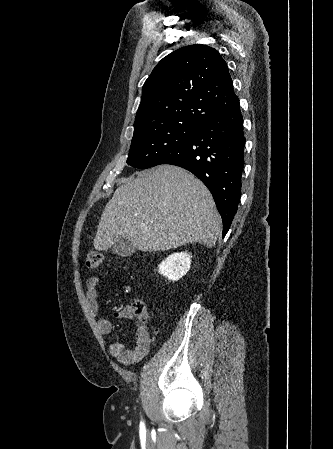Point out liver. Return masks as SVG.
Masks as SVG:
<instances>
[{"label": "liver", "mask_w": 333, "mask_h": 449, "mask_svg": "<svg viewBox=\"0 0 333 449\" xmlns=\"http://www.w3.org/2000/svg\"><path fill=\"white\" fill-rule=\"evenodd\" d=\"M106 204L93 241L106 251L120 237L141 251H164L189 243L211 248L221 216L207 187L181 167L162 165L123 180Z\"/></svg>", "instance_id": "obj_1"}]
</instances>
